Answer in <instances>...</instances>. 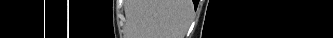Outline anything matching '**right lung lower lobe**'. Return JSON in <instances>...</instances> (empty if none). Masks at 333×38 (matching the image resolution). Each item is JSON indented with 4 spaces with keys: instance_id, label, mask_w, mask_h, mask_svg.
Here are the masks:
<instances>
[{
    "instance_id": "98d812e1",
    "label": "right lung lower lobe",
    "mask_w": 333,
    "mask_h": 38,
    "mask_svg": "<svg viewBox=\"0 0 333 38\" xmlns=\"http://www.w3.org/2000/svg\"><path fill=\"white\" fill-rule=\"evenodd\" d=\"M193 2H194V5L196 6V2L193 0Z\"/></svg>"
}]
</instances>
